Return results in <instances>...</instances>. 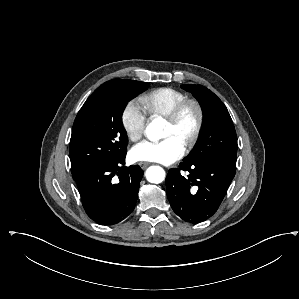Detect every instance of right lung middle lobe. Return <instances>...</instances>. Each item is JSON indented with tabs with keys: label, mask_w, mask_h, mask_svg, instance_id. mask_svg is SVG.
<instances>
[{
	"label": "right lung middle lobe",
	"mask_w": 299,
	"mask_h": 299,
	"mask_svg": "<svg viewBox=\"0 0 299 299\" xmlns=\"http://www.w3.org/2000/svg\"><path fill=\"white\" fill-rule=\"evenodd\" d=\"M148 86L134 80H110L86 100L74 121L70 140L74 180L126 153L128 138L122 125V113L128 101Z\"/></svg>",
	"instance_id": "dd1d6c3e"
}]
</instances>
